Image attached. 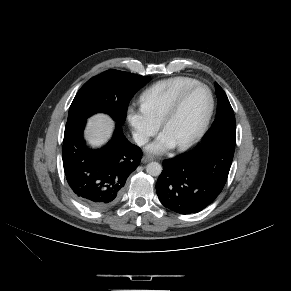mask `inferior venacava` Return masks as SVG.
Segmentation results:
<instances>
[{
	"mask_svg": "<svg viewBox=\"0 0 291 291\" xmlns=\"http://www.w3.org/2000/svg\"><path fill=\"white\" fill-rule=\"evenodd\" d=\"M133 141L136 145L143 146L149 141V138L141 133H133Z\"/></svg>",
	"mask_w": 291,
	"mask_h": 291,
	"instance_id": "1",
	"label": "inferior vena cava"
}]
</instances>
